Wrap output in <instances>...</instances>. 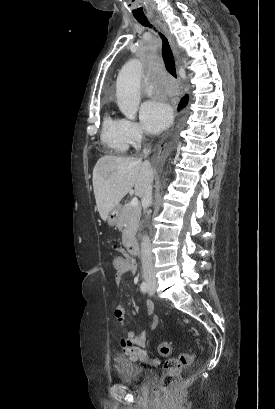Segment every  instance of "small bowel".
I'll use <instances>...</instances> for the list:
<instances>
[{"instance_id": "small-bowel-1", "label": "small bowel", "mask_w": 275, "mask_h": 409, "mask_svg": "<svg viewBox=\"0 0 275 409\" xmlns=\"http://www.w3.org/2000/svg\"><path fill=\"white\" fill-rule=\"evenodd\" d=\"M123 268L121 269V274L116 273V281L120 282L123 275H128L129 273H135L137 271V263L131 259L123 258ZM145 312L150 316V321L148 323V328L153 330L158 326L159 318L154 315V304L151 301L145 302ZM114 316L119 321L122 322L125 319L126 311L122 305H117L114 309ZM146 344V332L140 331L138 333H131L126 338H121L119 340V345L123 347L122 352L126 355L128 360H140L141 362L156 366L160 364L158 359L148 358L147 354L143 350Z\"/></svg>"}]
</instances>
